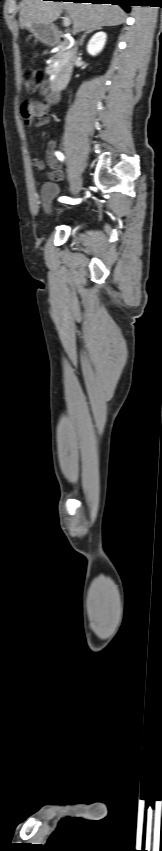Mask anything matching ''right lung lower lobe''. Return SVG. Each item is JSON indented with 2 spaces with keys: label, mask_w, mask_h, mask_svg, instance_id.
<instances>
[{
  "label": "right lung lower lobe",
  "mask_w": 162,
  "mask_h": 851,
  "mask_svg": "<svg viewBox=\"0 0 162 851\" xmlns=\"http://www.w3.org/2000/svg\"><path fill=\"white\" fill-rule=\"evenodd\" d=\"M63 1V0H56ZM73 2H82V3H93V4H112V5H120L125 11L129 12L130 7L132 6V0H72Z\"/></svg>",
  "instance_id": "right-lung-lower-lobe-1"
}]
</instances>
